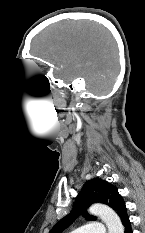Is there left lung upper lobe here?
Segmentation results:
<instances>
[{
    "label": "left lung upper lobe",
    "mask_w": 145,
    "mask_h": 233,
    "mask_svg": "<svg viewBox=\"0 0 145 233\" xmlns=\"http://www.w3.org/2000/svg\"><path fill=\"white\" fill-rule=\"evenodd\" d=\"M96 202L104 203L116 211L121 218L122 224L129 220L123 198L118 193L117 188L101 179H92L87 181L79 195L77 196L74 210L61 219L49 233H61L73 223L78 214L87 216L88 220H95V217L89 216L86 209Z\"/></svg>",
    "instance_id": "5c2ea615"
}]
</instances>
